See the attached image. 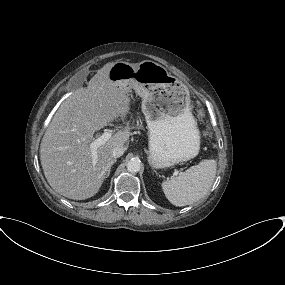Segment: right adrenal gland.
<instances>
[{
	"mask_svg": "<svg viewBox=\"0 0 285 285\" xmlns=\"http://www.w3.org/2000/svg\"><path fill=\"white\" fill-rule=\"evenodd\" d=\"M116 163V159H113L111 164L109 165L108 169H107V172H106V175H105V178L109 177V174H110V171H111V167L112 165Z\"/></svg>",
	"mask_w": 285,
	"mask_h": 285,
	"instance_id": "right-adrenal-gland-1",
	"label": "right adrenal gland"
}]
</instances>
